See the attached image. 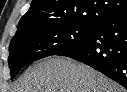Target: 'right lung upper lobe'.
I'll return each instance as SVG.
<instances>
[{
	"label": "right lung upper lobe",
	"mask_w": 127,
	"mask_h": 92,
	"mask_svg": "<svg viewBox=\"0 0 127 92\" xmlns=\"http://www.w3.org/2000/svg\"><path fill=\"white\" fill-rule=\"evenodd\" d=\"M125 13L127 0H33L14 37L42 27L97 26Z\"/></svg>",
	"instance_id": "right-lung-upper-lobe-1"
}]
</instances>
